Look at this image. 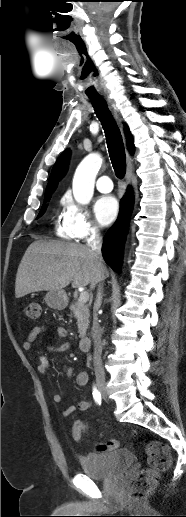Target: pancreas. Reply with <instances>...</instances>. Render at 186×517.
<instances>
[{
	"instance_id": "obj_1",
	"label": "pancreas",
	"mask_w": 186,
	"mask_h": 517,
	"mask_svg": "<svg viewBox=\"0 0 186 517\" xmlns=\"http://www.w3.org/2000/svg\"><path fill=\"white\" fill-rule=\"evenodd\" d=\"M69 308L77 319L79 337L82 338L86 335V331H87L89 323H90L89 305L86 303H80L79 301H77V302L72 303Z\"/></svg>"
}]
</instances>
